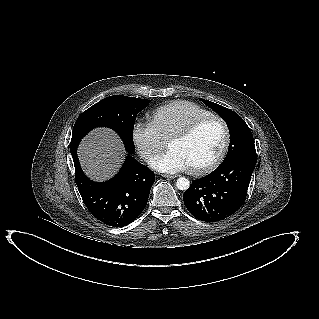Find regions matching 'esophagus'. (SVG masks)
Returning a JSON list of instances; mask_svg holds the SVG:
<instances>
[{
  "label": "esophagus",
  "instance_id": "1",
  "mask_svg": "<svg viewBox=\"0 0 319 319\" xmlns=\"http://www.w3.org/2000/svg\"><path fill=\"white\" fill-rule=\"evenodd\" d=\"M163 177L168 179H173V178H176L177 175L164 174Z\"/></svg>",
  "mask_w": 319,
  "mask_h": 319
}]
</instances>
